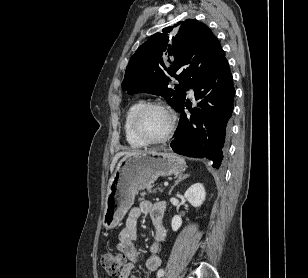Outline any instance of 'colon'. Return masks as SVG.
Masks as SVG:
<instances>
[{
	"mask_svg": "<svg viewBox=\"0 0 308 278\" xmlns=\"http://www.w3.org/2000/svg\"><path fill=\"white\" fill-rule=\"evenodd\" d=\"M102 266L111 275L121 272L125 263V255L122 253H108L102 257Z\"/></svg>",
	"mask_w": 308,
	"mask_h": 278,
	"instance_id": "obj_1",
	"label": "colon"
}]
</instances>
